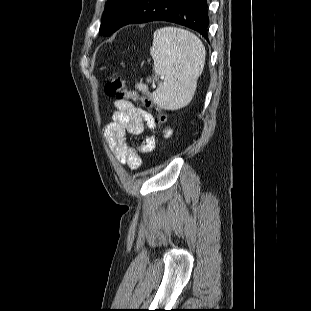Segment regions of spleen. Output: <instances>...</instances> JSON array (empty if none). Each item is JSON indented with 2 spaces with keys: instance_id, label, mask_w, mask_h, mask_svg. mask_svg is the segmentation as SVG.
<instances>
[{
  "instance_id": "1",
  "label": "spleen",
  "mask_w": 311,
  "mask_h": 311,
  "mask_svg": "<svg viewBox=\"0 0 311 311\" xmlns=\"http://www.w3.org/2000/svg\"><path fill=\"white\" fill-rule=\"evenodd\" d=\"M150 55L154 61L155 79L161 77L163 82H159L151 94L142 83L136 88L165 110L187 106L205 64L206 51L202 41L188 30L163 27L154 32Z\"/></svg>"
}]
</instances>
